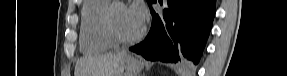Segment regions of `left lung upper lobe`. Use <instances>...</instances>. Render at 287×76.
Segmentation results:
<instances>
[{
    "instance_id": "5c2ea615",
    "label": "left lung upper lobe",
    "mask_w": 287,
    "mask_h": 76,
    "mask_svg": "<svg viewBox=\"0 0 287 76\" xmlns=\"http://www.w3.org/2000/svg\"><path fill=\"white\" fill-rule=\"evenodd\" d=\"M147 2H148V4H149V6L151 7V4H152L153 2H156V0H147Z\"/></svg>"
}]
</instances>
